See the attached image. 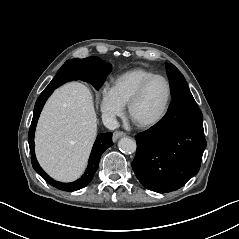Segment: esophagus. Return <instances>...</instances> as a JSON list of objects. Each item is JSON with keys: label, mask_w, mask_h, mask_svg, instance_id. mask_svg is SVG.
I'll return each instance as SVG.
<instances>
[{"label": "esophagus", "mask_w": 239, "mask_h": 239, "mask_svg": "<svg viewBox=\"0 0 239 239\" xmlns=\"http://www.w3.org/2000/svg\"><path fill=\"white\" fill-rule=\"evenodd\" d=\"M126 135V133L122 132V131H115L113 133V142H116L117 139H119L120 137H124Z\"/></svg>", "instance_id": "34e87169"}]
</instances>
